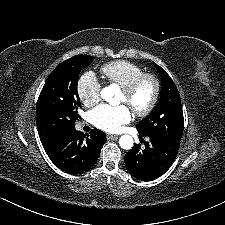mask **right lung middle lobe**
Masks as SVG:
<instances>
[{
  "instance_id": "right-lung-middle-lobe-1",
  "label": "right lung middle lobe",
  "mask_w": 225,
  "mask_h": 225,
  "mask_svg": "<svg viewBox=\"0 0 225 225\" xmlns=\"http://www.w3.org/2000/svg\"><path fill=\"white\" fill-rule=\"evenodd\" d=\"M93 60V56L76 55L59 64L48 76L36 105V124L43 145L75 129V121L81 118L79 73Z\"/></svg>"
}]
</instances>
